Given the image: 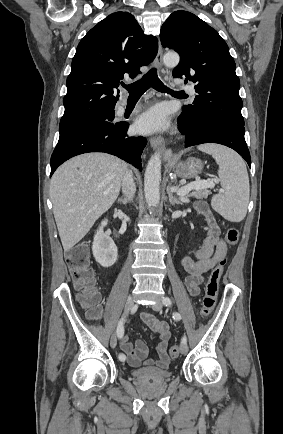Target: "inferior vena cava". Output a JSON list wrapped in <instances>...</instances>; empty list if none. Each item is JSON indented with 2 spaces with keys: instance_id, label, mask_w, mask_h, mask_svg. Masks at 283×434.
<instances>
[{
  "instance_id": "obj_1",
  "label": "inferior vena cava",
  "mask_w": 283,
  "mask_h": 434,
  "mask_svg": "<svg viewBox=\"0 0 283 434\" xmlns=\"http://www.w3.org/2000/svg\"><path fill=\"white\" fill-rule=\"evenodd\" d=\"M136 186L132 177V172L127 170L122 179V192L127 201H131L134 197Z\"/></svg>"
}]
</instances>
